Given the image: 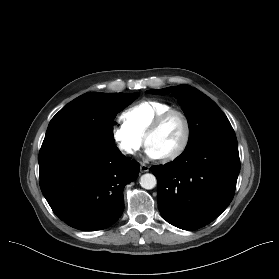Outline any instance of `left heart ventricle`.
Returning <instances> with one entry per match:
<instances>
[{
    "instance_id": "left-heart-ventricle-1",
    "label": "left heart ventricle",
    "mask_w": 279,
    "mask_h": 279,
    "mask_svg": "<svg viewBox=\"0 0 279 279\" xmlns=\"http://www.w3.org/2000/svg\"><path fill=\"white\" fill-rule=\"evenodd\" d=\"M184 125L178 115L170 116L162 126L149 136L147 146L161 157L173 152L182 142Z\"/></svg>"
}]
</instances>
